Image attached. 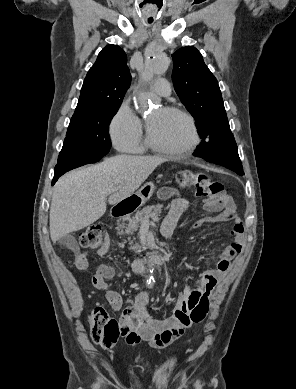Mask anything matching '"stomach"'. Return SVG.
I'll use <instances>...</instances> for the list:
<instances>
[{"label":"stomach","instance_id":"obj_1","mask_svg":"<svg viewBox=\"0 0 296 389\" xmlns=\"http://www.w3.org/2000/svg\"><path fill=\"white\" fill-rule=\"evenodd\" d=\"M154 192L152 183L145 184L135 195L141 199V202L148 200Z\"/></svg>","mask_w":296,"mask_h":389}]
</instances>
